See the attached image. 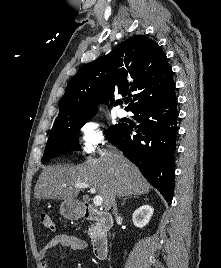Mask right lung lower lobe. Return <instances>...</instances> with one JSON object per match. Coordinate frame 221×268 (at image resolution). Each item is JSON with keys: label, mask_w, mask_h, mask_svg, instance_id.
<instances>
[{"label": "right lung lower lobe", "mask_w": 221, "mask_h": 268, "mask_svg": "<svg viewBox=\"0 0 221 268\" xmlns=\"http://www.w3.org/2000/svg\"><path fill=\"white\" fill-rule=\"evenodd\" d=\"M177 99L175 93L167 98L133 111L140 123L133 128L122 124L110 133L109 142L123 151L143 176L171 204L174 192V153L178 134Z\"/></svg>", "instance_id": "right-lung-lower-lobe-1"}]
</instances>
